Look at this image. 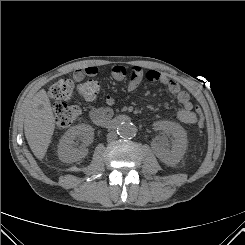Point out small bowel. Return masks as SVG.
<instances>
[{"label":"small bowel","instance_id":"1","mask_svg":"<svg viewBox=\"0 0 245 245\" xmlns=\"http://www.w3.org/2000/svg\"><path fill=\"white\" fill-rule=\"evenodd\" d=\"M98 73L96 66H88L83 69H78L74 72L73 78L75 81H81L87 76H94ZM111 76L117 81H123L129 76L127 89L128 91H134L139 87L143 79H147L151 82H158L163 84L169 91V93L178 101L181 108L177 112V118L179 121L185 124H194L197 122V115L193 111V103L191 102L189 93L182 89L180 85L165 74L156 70H146L141 66H133L128 70L121 65H114L111 68ZM115 103V99L112 95L105 97V106L94 107L89 111L90 119L98 125L101 120H108L113 115L112 106Z\"/></svg>","mask_w":245,"mask_h":245}]
</instances>
